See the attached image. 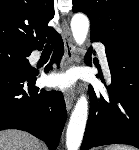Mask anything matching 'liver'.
Segmentation results:
<instances>
[{
  "mask_svg": "<svg viewBox=\"0 0 139 150\" xmlns=\"http://www.w3.org/2000/svg\"><path fill=\"white\" fill-rule=\"evenodd\" d=\"M41 143L34 136L18 131H0V150H41Z\"/></svg>",
  "mask_w": 139,
  "mask_h": 150,
  "instance_id": "1",
  "label": "liver"
}]
</instances>
